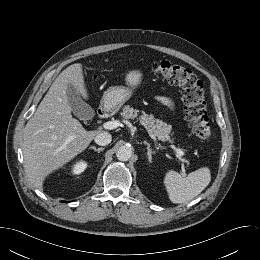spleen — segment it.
I'll use <instances>...</instances> for the list:
<instances>
[{"label":"spleen","instance_id":"1","mask_svg":"<svg viewBox=\"0 0 260 260\" xmlns=\"http://www.w3.org/2000/svg\"><path fill=\"white\" fill-rule=\"evenodd\" d=\"M211 173L208 167L200 168L187 176L170 170L166 173L164 184L173 203H185L194 199L210 183Z\"/></svg>","mask_w":260,"mask_h":260}]
</instances>
